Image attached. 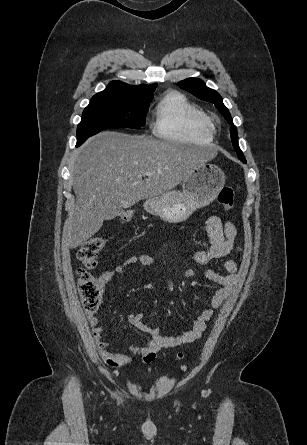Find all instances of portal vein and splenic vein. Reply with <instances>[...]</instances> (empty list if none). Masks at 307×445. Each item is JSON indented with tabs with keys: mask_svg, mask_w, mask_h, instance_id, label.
I'll use <instances>...</instances> for the list:
<instances>
[{
	"mask_svg": "<svg viewBox=\"0 0 307 445\" xmlns=\"http://www.w3.org/2000/svg\"><path fill=\"white\" fill-rule=\"evenodd\" d=\"M158 172H161V170H157V172H143L141 176H148V174H158Z\"/></svg>",
	"mask_w": 307,
	"mask_h": 445,
	"instance_id": "18ae733b",
	"label": "portal vein and splenic vein"
}]
</instances>
